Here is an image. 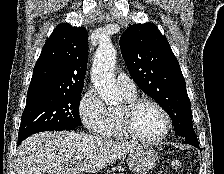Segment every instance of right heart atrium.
Wrapping results in <instances>:
<instances>
[{"instance_id": "1", "label": "right heart atrium", "mask_w": 224, "mask_h": 174, "mask_svg": "<svg viewBox=\"0 0 224 174\" xmlns=\"http://www.w3.org/2000/svg\"><path fill=\"white\" fill-rule=\"evenodd\" d=\"M79 115L89 132L103 136L110 125V113L94 89H88L79 103Z\"/></svg>"}]
</instances>
